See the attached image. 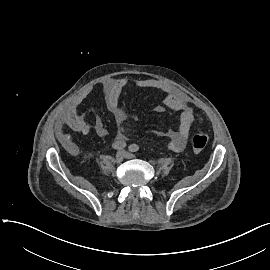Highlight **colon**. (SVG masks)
I'll return each instance as SVG.
<instances>
[{"mask_svg":"<svg viewBox=\"0 0 270 270\" xmlns=\"http://www.w3.org/2000/svg\"><path fill=\"white\" fill-rule=\"evenodd\" d=\"M208 144V137L205 133L197 132L192 137V147L195 152L205 149Z\"/></svg>","mask_w":270,"mask_h":270,"instance_id":"5ec220e1","label":"colon"}]
</instances>
